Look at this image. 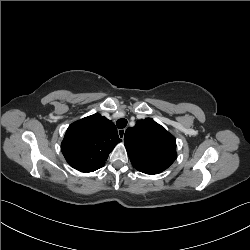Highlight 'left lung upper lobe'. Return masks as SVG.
<instances>
[{
	"label": "left lung upper lobe",
	"mask_w": 250,
	"mask_h": 250,
	"mask_svg": "<svg viewBox=\"0 0 250 250\" xmlns=\"http://www.w3.org/2000/svg\"><path fill=\"white\" fill-rule=\"evenodd\" d=\"M124 144L133 167L146 174L162 172L177 157L176 139L151 118L129 127Z\"/></svg>",
	"instance_id": "5c2ea615"
}]
</instances>
